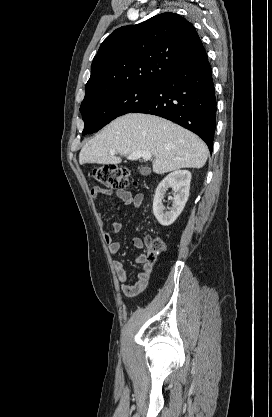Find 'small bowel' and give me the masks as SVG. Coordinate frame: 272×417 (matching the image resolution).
<instances>
[{
    "label": "small bowel",
    "instance_id": "1",
    "mask_svg": "<svg viewBox=\"0 0 272 417\" xmlns=\"http://www.w3.org/2000/svg\"><path fill=\"white\" fill-rule=\"evenodd\" d=\"M113 194L120 199L123 205L133 206L135 208H139L144 200L143 194H132L131 192L123 188L113 190L104 189L99 186H94L91 189V195L93 198H98L100 195ZM98 215L99 217H101L100 212H98ZM121 228L122 224L120 222H115L104 229L103 236L111 254H118L120 252L121 245L119 242L114 240V237L117 233H119ZM132 245L137 250H141L144 248V242L142 241V239L138 237L132 239ZM134 262L136 264L141 265V268L137 273L135 281L129 279L126 268L121 261H115L113 263L116 277L121 282L119 285V289L123 295L129 298H133L139 295L147 288L152 271L151 265L145 262L144 254H137L134 258Z\"/></svg>",
    "mask_w": 272,
    "mask_h": 417
}]
</instances>
